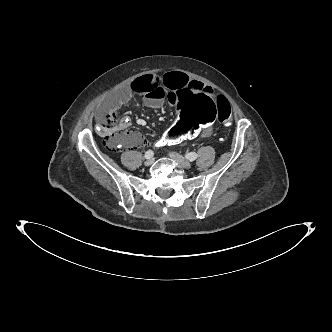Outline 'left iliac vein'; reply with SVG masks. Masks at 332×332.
I'll use <instances>...</instances> for the list:
<instances>
[{
	"label": "left iliac vein",
	"mask_w": 332,
	"mask_h": 332,
	"mask_svg": "<svg viewBox=\"0 0 332 332\" xmlns=\"http://www.w3.org/2000/svg\"><path fill=\"white\" fill-rule=\"evenodd\" d=\"M169 156L182 168L184 169H190L191 164L188 160H186L184 157H182L180 154L176 152H171Z\"/></svg>",
	"instance_id": "left-iliac-vein-1"
}]
</instances>
